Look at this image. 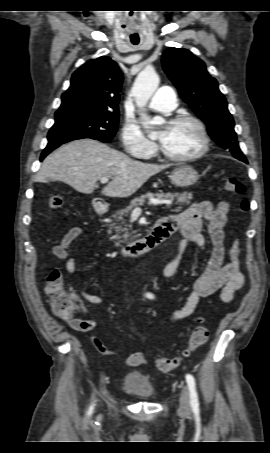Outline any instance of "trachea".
Returning <instances> with one entry per match:
<instances>
[{
  "mask_svg": "<svg viewBox=\"0 0 270 453\" xmlns=\"http://www.w3.org/2000/svg\"><path fill=\"white\" fill-rule=\"evenodd\" d=\"M134 45L138 44V42H132Z\"/></svg>",
  "mask_w": 270,
  "mask_h": 453,
  "instance_id": "trachea-1",
  "label": "trachea"
}]
</instances>
